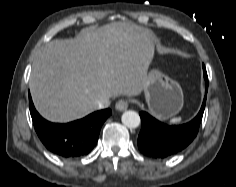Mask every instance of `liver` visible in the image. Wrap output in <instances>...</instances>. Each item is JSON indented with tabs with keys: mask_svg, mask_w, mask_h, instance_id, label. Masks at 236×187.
Masks as SVG:
<instances>
[{
	"mask_svg": "<svg viewBox=\"0 0 236 187\" xmlns=\"http://www.w3.org/2000/svg\"><path fill=\"white\" fill-rule=\"evenodd\" d=\"M154 37L133 23L87 28L52 40L33 61L29 87L38 112L52 122L80 119L101 97L137 96L147 83Z\"/></svg>",
	"mask_w": 236,
	"mask_h": 187,
	"instance_id": "1",
	"label": "liver"
}]
</instances>
